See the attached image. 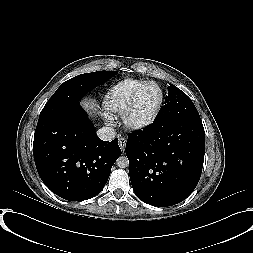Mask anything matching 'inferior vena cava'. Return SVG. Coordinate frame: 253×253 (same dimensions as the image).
Returning a JSON list of instances; mask_svg holds the SVG:
<instances>
[{
  "label": "inferior vena cava",
  "mask_w": 253,
  "mask_h": 253,
  "mask_svg": "<svg viewBox=\"0 0 253 253\" xmlns=\"http://www.w3.org/2000/svg\"><path fill=\"white\" fill-rule=\"evenodd\" d=\"M98 137L103 141H111L115 138V129L112 127H102L97 131Z\"/></svg>",
  "instance_id": "602c4592"
}]
</instances>
